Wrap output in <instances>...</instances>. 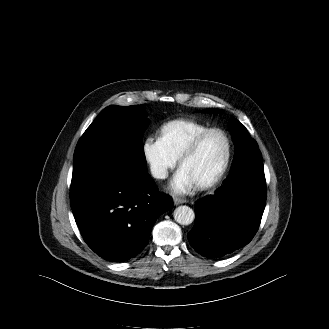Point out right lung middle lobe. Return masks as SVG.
Returning <instances> with one entry per match:
<instances>
[{
	"mask_svg": "<svg viewBox=\"0 0 329 329\" xmlns=\"http://www.w3.org/2000/svg\"><path fill=\"white\" fill-rule=\"evenodd\" d=\"M148 123L146 111L141 106L106 107L78 141L72 180L99 170L128 178L145 175L142 136Z\"/></svg>",
	"mask_w": 329,
	"mask_h": 329,
	"instance_id": "right-lung-middle-lobe-1",
	"label": "right lung middle lobe"
}]
</instances>
